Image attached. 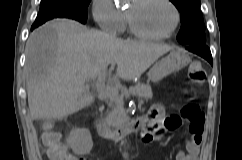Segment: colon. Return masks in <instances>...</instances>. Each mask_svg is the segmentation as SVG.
Here are the masks:
<instances>
[{
  "label": "colon",
  "mask_w": 242,
  "mask_h": 160,
  "mask_svg": "<svg viewBox=\"0 0 242 160\" xmlns=\"http://www.w3.org/2000/svg\"><path fill=\"white\" fill-rule=\"evenodd\" d=\"M188 76L190 82L194 84H200L204 81L205 70L200 62H193L190 64ZM182 116L191 123L190 131L199 129L204 118L200 107L193 101H189L183 106ZM42 141L51 160H66L69 153L65 145L61 142V135L58 131L54 130L49 123L45 125ZM77 160L89 159L80 158Z\"/></svg>",
  "instance_id": "1"
}]
</instances>
